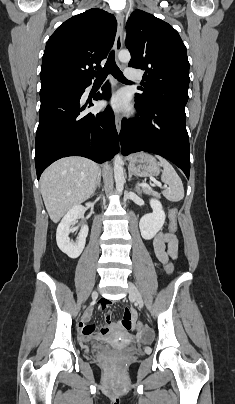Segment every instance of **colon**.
Here are the masks:
<instances>
[{
    "label": "colon",
    "mask_w": 235,
    "mask_h": 404,
    "mask_svg": "<svg viewBox=\"0 0 235 404\" xmlns=\"http://www.w3.org/2000/svg\"><path fill=\"white\" fill-rule=\"evenodd\" d=\"M176 212H177L176 208H172L170 210L169 230L171 233H174L177 229ZM166 271L168 274L173 273V265L169 261L166 263ZM121 324L127 330L138 329L140 327V324L138 322H135L131 311L127 308L123 312Z\"/></svg>",
    "instance_id": "obj_1"
}]
</instances>
